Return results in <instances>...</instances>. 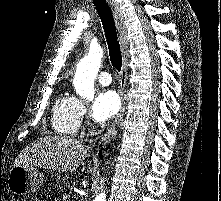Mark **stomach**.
Here are the masks:
<instances>
[{
  "instance_id": "obj_1",
  "label": "stomach",
  "mask_w": 221,
  "mask_h": 201,
  "mask_svg": "<svg viewBox=\"0 0 221 201\" xmlns=\"http://www.w3.org/2000/svg\"><path fill=\"white\" fill-rule=\"evenodd\" d=\"M43 183V174L33 166H13L8 175L7 188L16 195L35 192Z\"/></svg>"
}]
</instances>
